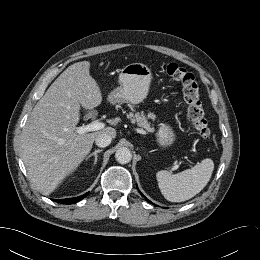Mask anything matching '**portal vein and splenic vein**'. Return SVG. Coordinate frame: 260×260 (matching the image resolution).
<instances>
[{
    "label": "portal vein and splenic vein",
    "mask_w": 260,
    "mask_h": 260,
    "mask_svg": "<svg viewBox=\"0 0 260 260\" xmlns=\"http://www.w3.org/2000/svg\"><path fill=\"white\" fill-rule=\"evenodd\" d=\"M104 127H105L104 123L98 122V121H93L90 124L76 127V132L78 134H83V133H88V132H92V131H98V130L103 129ZM175 169L176 168L173 167V170H175Z\"/></svg>",
    "instance_id": "portal-vein-and-splenic-vein-1"
}]
</instances>
